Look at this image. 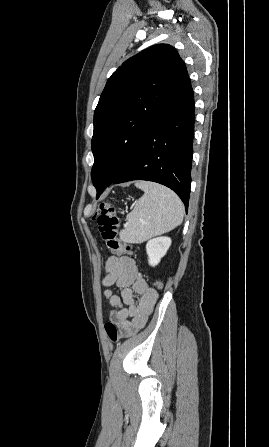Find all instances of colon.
<instances>
[{"label": "colon", "instance_id": "1", "mask_svg": "<svg viewBox=\"0 0 269 447\" xmlns=\"http://www.w3.org/2000/svg\"><path fill=\"white\" fill-rule=\"evenodd\" d=\"M117 208L113 203L102 202L99 204L93 218L95 219L101 239L107 247L118 256H133V249L117 239L119 232V221L117 218ZM163 287L162 280L154 282L156 291H160ZM107 335L113 342L120 341L119 331L115 324H107L105 326Z\"/></svg>", "mask_w": 269, "mask_h": 447}]
</instances>
